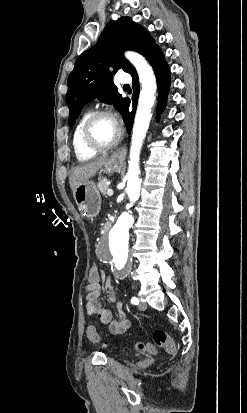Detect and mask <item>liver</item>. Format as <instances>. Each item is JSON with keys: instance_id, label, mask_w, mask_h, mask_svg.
Returning a JSON list of instances; mask_svg holds the SVG:
<instances>
[{"instance_id": "liver-1", "label": "liver", "mask_w": 247, "mask_h": 413, "mask_svg": "<svg viewBox=\"0 0 247 413\" xmlns=\"http://www.w3.org/2000/svg\"><path fill=\"white\" fill-rule=\"evenodd\" d=\"M107 158L108 154H103V156H98V158H94V160H90V162H86V164L75 166L69 176L71 190L74 192L78 184H81V182H86V180H89L91 176H94L97 170L101 168L102 164L106 162Z\"/></svg>"}]
</instances>
